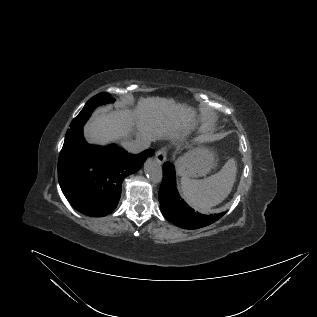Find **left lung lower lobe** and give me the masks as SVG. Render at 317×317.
Masks as SVG:
<instances>
[{
    "instance_id": "1",
    "label": "left lung lower lobe",
    "mask_w": 317,
    "mask_h": 317,
    "mask_svg": "<svg viewBox=\"0 0 317 317\" xmlns=\"http://www.w3.org/2000/svg\"><path fill=\"white\" fill-rule=\"evenodd\" d=\"M159 202L164 217L184 229H198L210 225L220 219L219 215H204L195 212L179 196L175 184L174 166L165 162L163 165V181L159 191Z\"/></svg>"
}]
</instances>
